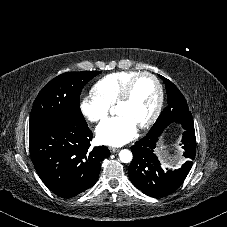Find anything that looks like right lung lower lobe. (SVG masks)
<instances>
[{
	"instance_id": "98d812e1",
	"label": "right lung lower lobe",
	"mask_w": 227,
	"mask_h": 227,
	"mask_svg": "<svg viewBox=\"0 0 227 227\" xmlns=\"http://www.w3.org/2000/svg\"><path fill=\"white\" fill-rule=\"evenodd\" d=\"M92 132L87 126L51 122L29 133L34 167L56 195L71 198L92 187L100 162L110 155L105 146L89 149Z\"/></svg>"
}]
</instances>
